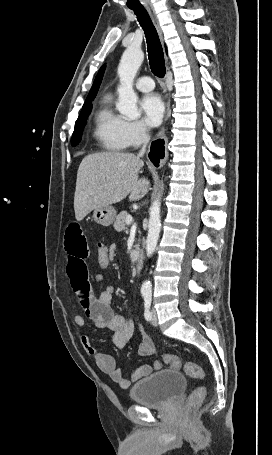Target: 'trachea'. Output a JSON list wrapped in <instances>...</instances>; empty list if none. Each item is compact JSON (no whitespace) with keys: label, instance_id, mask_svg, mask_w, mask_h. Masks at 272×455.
I'll list each match as a JSON object with an SVG mask.
<instances>
[{"label":"trachea","instance_id":"obj_1","mask_svg":"<svg viewBox=\"0 0 272 455\" xmlns=\"http://www.w3.org/2000/svg\"><path fill=\"white\" fill-rule=\"evenodd\" d=\"M131 9L137 16V19L145 33L150 69L155 76L163 78L166 73L165 60L156 28L153 25L148 12L143 6Z\"/></svg>","mask_w":272,"mask_h":455}]
</instances>
